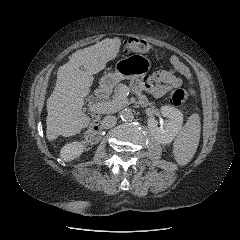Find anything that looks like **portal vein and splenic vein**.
I'll return each mask as SVG.
<instances>
[{
    "label": "portal vein and splenic vein",
    "mask_w": 240,
    "mask_h": 240,
    "mask_svg": "<svg viewBox=\"0 0 240 240\" xmlns=\"http://www.w3.org/2000/svg\"><path fill=\"white\" fill-rule=\"evenodd\" d=\"M113 106H114V103L106 102V103L99 104L97 106H93L92 109H98L100 111H105V110L112 109Z\"/></svg>",
    "instance_id": "portal-vein-and-splenic-vein-1"
}]
</instances>
